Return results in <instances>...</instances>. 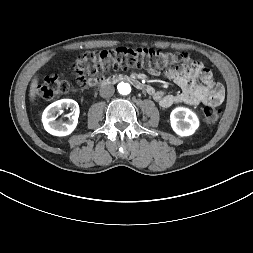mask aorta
Instances as JSON below:
<instances>
[{
	"label": "aorta",
	"mask_w": 253,
	"mask_h": 253,
	"mask_svg": "<svg viewBox=\"0 0 253 253\" xmlns=\"http://www.w3.org/2000/svg\"><path fill=\"white\" fill-rule=\"evenodd\" d=\"M118 92L122 95H128L131 92L130 84L121 82L117 85Z\"/></svg>",
	"instance_id": "aorta-1"
}]
</instances>
